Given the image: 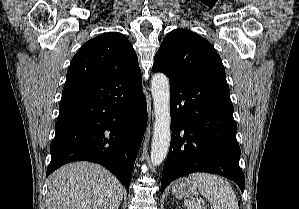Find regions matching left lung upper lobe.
Wrapping results in <instances>:
<instances>
[{
	"instance_id": "5c2ea615",
	"label": "left lung upper lobe",
	"mask_w": 299,
	"mask_h": 209,
	"mask_svg": "<svg viewBox=\"0 0 299 209\" xmlns=\"http://www.w3.org/2000/svg\"><path fill=\"white\" fill-rule=\"evenodd\" d=\"M152 70L165 73L170 80L227 84L221 58L212 44L186 29H175L166 35L155 55Z\"/></svg>"
}]
</instances>
